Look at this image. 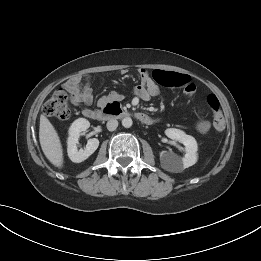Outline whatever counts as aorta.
Listing matches in <instances>:
<instances>
[{
  "label": "aorta",
  "mask_w": 261,
  "mask_h": 261,
  "mask_svg": "<svg viewBox=\"0 0 261 261\" xmlns=\"http://www.w3.org/2000/svg\"><path fill=\"white\" fill-rule=\"evenodd\" d=\"M133 124V121L130 117H125L124 119H122V125L125 128H130Z\"/></svg>",
  "instance_id": "762f6f07"
}]
</instances>
